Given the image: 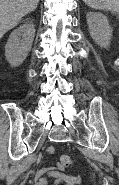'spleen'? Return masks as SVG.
Instances as JSON below:
<instances>
[{
    "mask_svg": "<svg viewBox=\"0 0 119 185\" xmlns=\"http://www.w3.org/2000/svg\"><path fill=\"white\" fill-rule=\"evenodd\" d=\"M83 1L93 9L119 13V0H83Z\"/></svg>",
    "mask_w": 119,
    "mask_h": 185,
    "instance_id": "1",
    "label": "spleen"
}]
</instances>
